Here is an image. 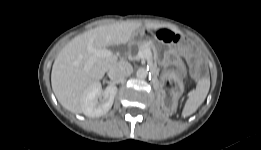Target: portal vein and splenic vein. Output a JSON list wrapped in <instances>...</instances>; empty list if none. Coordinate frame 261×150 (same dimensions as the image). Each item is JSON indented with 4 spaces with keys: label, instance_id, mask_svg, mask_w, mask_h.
<instances>
[{
    "label": "portal vein and splenic vein",
    "instance_id": "18ae733b",
    "mask_svg": "<svg viewBox=\"0 0 261 150\" xmlns=\"http://www.w3.org/2000/svg\"><path fill=\"white\" fill-rule=\"evenodd\" d=\"M88 52L92 54V57L89 61V65H92L96 57H109L112 55V52L105 48H96L90 43L87 47ZM149 52L148 50H139L138 57L139 58H148Z\"/></svg>",
    "mask_w": 261,
    "mask_h": 150
}]
</instances>
